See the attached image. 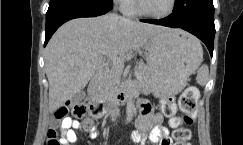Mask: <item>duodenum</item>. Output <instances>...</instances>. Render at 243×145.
I'll use <instances>...</instances> for the list:
<instances>
[{
	"instance_id": "obj_1",
	"label": "duodenum",
	"mask_w": 243,
	"mask_h": 145,
	"mask_svg": "<svg viewBox=\"0 0 243 145\" xmlns=\"http://www.w3.org/2000/svg\"><path fill=\"white\" fill-rule=\"evenodd\" d=\"M105 67H100L96 76L104 73ZM131 90L127 85H122L118 88L117 92L109 98L96 97L92 88L87 91V98L89 101L90 114L95 118H101L113 107L128 101L131 98Z\"/></svg>"
}]
</instances>
